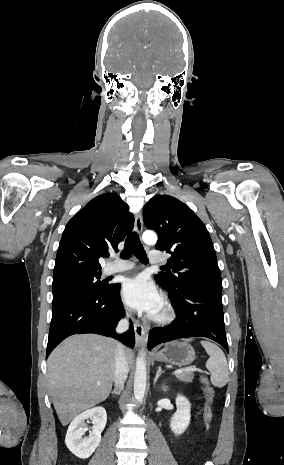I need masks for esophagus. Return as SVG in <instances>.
<instances>
[{"instance_id": "34e87169", "label": "esophagus", "mask_w": 284, "mask_h": 465, "mask_svg": "<svg viewBox=\"0 0 284 465\" xmlns=\"http://www.w3.org/2000/svg\"><path fill=\"white\" fill-rule=\"evenodd\" d=\"M134 227L138 234L142 233L143 220H142L141 212L136 213L135 215ZM134 332H135L136 344L137 345L144 344L146 329L139 322H136V321L134 322Z\"/></svg>"}]
</instances>
